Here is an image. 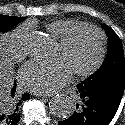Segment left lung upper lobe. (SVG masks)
<instances>
[{"label": "left lung upper lobe", "mask_w": 125, "mask_h": 125, "mask_svg": "<svg viewBox=\"0 0 125 125\" xmlns=\"http://www.w3.org/2000/svg\"><path fill=\"white\" fill-rule=\"evenodd\" d=\"M109 39L108 54L98 71L81 82L85 88L125 80V59L123 46L118 35L107 25H103Z\"/></svg>", "instance_id": "obj_1"}]
</instances>
